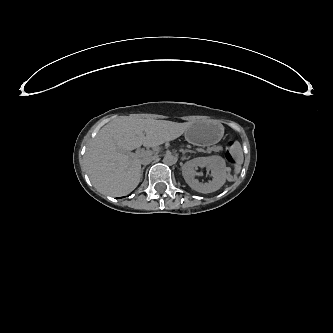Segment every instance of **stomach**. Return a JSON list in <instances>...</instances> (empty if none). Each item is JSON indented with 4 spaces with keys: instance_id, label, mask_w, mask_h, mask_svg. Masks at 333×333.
<instances>
[{
    "instance_id": "obj_1",
    "label": "stomach",
    "mask_w": 333,
    "mask_h": 333,
    "mask_svg": "<svg viewBox=\"0 0 333 333\" xmlns=\"http://www.w3.org/2000/svg\"><path fill=\"white\" fill-rule=\"evenodd\" d=\"M185 138L189 143H191L193 145H201L202 144L201 141L193 139L192 136L189 133L185 136Z\"/></svg>"
}]
</instances>
